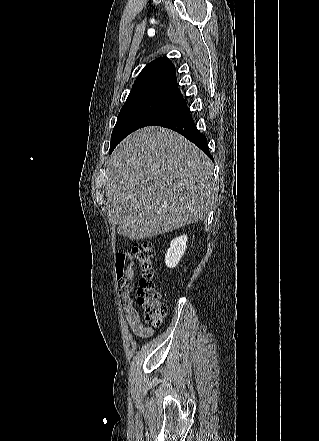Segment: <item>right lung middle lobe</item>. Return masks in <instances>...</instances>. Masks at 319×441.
<instances>
[{"label": "right lung middle lobe", "mask_w": 319, "mask_h": 441, "mask_svg": "<svg viewBox=\"0 0 319 441\" xmlns=\"http://www.w3.org/2000/svg\"><path fill=\"white\" fill-rule=\"evenodd\" d=\"M175 105L169 101L159 99H134L127 100L123 105L116 125L111 136V153L114 148L127 135L133 131L147 126V124L155 117Z\"/></svg>", "instance_id": "right-lung-middle-lobe-1"}]
</instances>
